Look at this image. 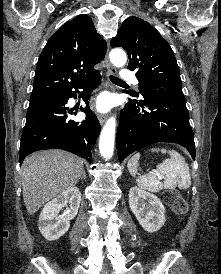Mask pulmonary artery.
I'll return each instance as SVG.
<instances>
[{
    "label": "pulmonary artery",
    "instance_id": "obj_1",
    "mask_svg": "<svg viewBox=\"0 0 221 274\" xmlns=\"http://www.w3.org/2000/svg\"><path fill=\"white\" fill-rule=\"evenodd\" d=\"M120 77L124 81H131L137 83L136 76L131 70L123 69L120 73Z\"/></svg>",
    "mask_w": 221,
    "mask_h": 274
}]
</instances>
